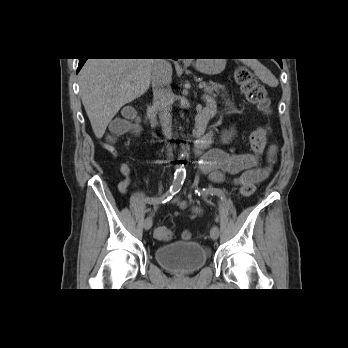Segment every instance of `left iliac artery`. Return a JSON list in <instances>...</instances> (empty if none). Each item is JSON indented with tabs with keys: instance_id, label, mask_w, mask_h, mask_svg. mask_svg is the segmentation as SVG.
<instances>
[{
	"instance_id": "44dca946",
	"label": "left iliac artery",
	"mask_w": 348,
	"mask_h": 348,
	"mask_svg": "<svg viewBox=\"0 0 348 348\" xmlns=\"http://www.w3.org/2000/svg\"><path fill=\"white\" fill-rule=\"evenodd\" d=\"M195 193L198 194L199 196H207L208 194H219V197L220 198H223V199H226V193H225V190L223 188H220V189H202V190H199V189H196L195 190ZM226 204H229V201H226Z\"/></svg>"
}]
</instances>
